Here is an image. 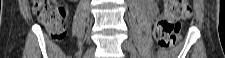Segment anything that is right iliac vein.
Listing matches in <instances>:
<instances>
[{"mask_svg": "<svg viewBox=\"0 0 225 58\" xmlns=\"http://www.w3.org/2000/svg\"><path fill=\"white\" fill-rule=\"evenodd\" d=\"M93 54H94V49L89 48L85 54V58H92Z\"/></svg>", "mask_w": 225, "mask_h": 58, "instance_id": "1", "label": "right iliac vein"}]
</instances>
